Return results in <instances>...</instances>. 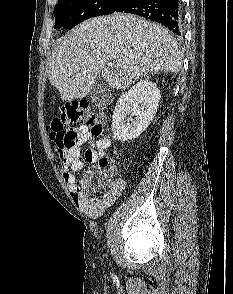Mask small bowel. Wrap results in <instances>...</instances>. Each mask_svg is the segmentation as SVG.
<instances>
[{
    "label": "small bowel",
    "mask_w": 233,
    "mask_h": 294,
    "mask_svg": "<svg viewBox=\"0 0 233 294\" xmlns=\"http://www.w3.org/2000/svg\"><path fill=\"white\" fill-rule=\"evenodd\" d=\"M72 131L75 134V143L61 162L62 176L65 183L73 190L76 204L88 216L97 218L122 194L125 188V181L121 178L113 180L110 186L97 197L80 193L75 173L84 166L80 158L81 147L84 144L91 145V148L85 152V160L89 163H96L97 159L110 149L111 141L108 136L95 137L86 126L74 128Z\"/></svg>",
    "instance_id": "small-bowel-1"
}]
</instances>
